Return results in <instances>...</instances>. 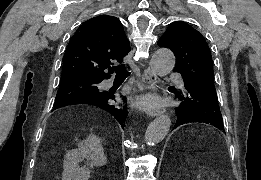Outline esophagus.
Segmentation results:
<instances>
[{"instance_id": "1", "label": "esophagus", "mask_w": 261, "mask_h": 180, "mask_svg": "<svg viewBox=\"0 0 261 180\" xmlns=\"http://www.w3.org/2000/svg\"><path fill=\"white\" fill-rule=\"evenodd\" d=\"M143 80L147 86L148 93L150 95H156L157 94V76L156 73L152 70L151 67H147L143 71ZM164 108L161 106H155V105H148L146 108V113L150 117H156L157 115H160L163 113Z\"/></svg>"}]
</instances>
